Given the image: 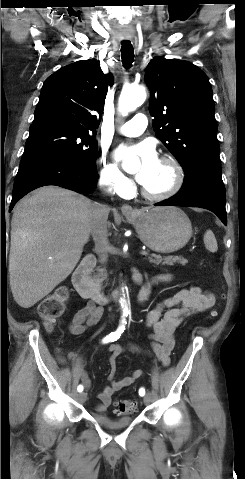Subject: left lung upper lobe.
Here are the masks:
<instances>
[{"label":"left lung upper lobe","mask_w":245,"mask_h":479,"mask_svg":"<svg viewBox=\"0 0 245 479\" xmlns=\"http://www.w3.org/2000/svg\"><path fill=\"white\" fill-rule=\"evenodd\" d=\"M145 78L155 134L184 172L201 161L219 159L215 106L206 74L190 62L156 57Z\"/></svg>","instance_id":"5c2ea615"}]
</instances>
